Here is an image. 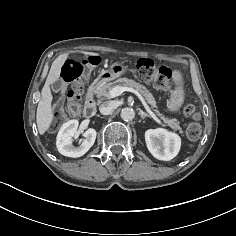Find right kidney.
Listing matches in <instances>:
<instances>
[{"label":"right kidney","instance_id":"right-kidney-1","mask_svg":"<svg viewBox=\"0 0 236 236\" xmlns=\"http://www.w3.org/2000/svg\"><path fill=\"white\" fill-rule=\"evenodd\" d=\"M78 126L79 122L77 120H70L60 128L56 146L62 155L73 158L81 157L93 146L97 134L93 128H89L83 133L85 138L78 147L72 145L73 137L78 134Z\"/></svg>","mask_w":236,"mask_h":236}]
</instances>
